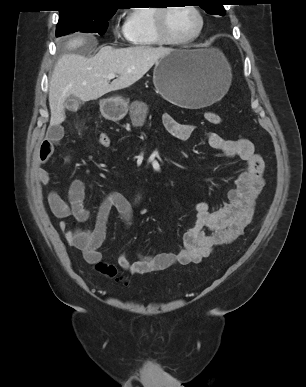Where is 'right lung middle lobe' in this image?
<instances>
[{
    "label": "right lung middle lobe",
    "instance_id": "dd1d6c3e",
    "mask_svg": "<svg viewBox=\"0 0 306 387\" xmlns=\"http://www.w3.org/2000/svg\"><path fill=\"white\" fill-rule=\"evenodd\" d=\"M115 12L116 10L60 13L56 36L61 37L76 31L103 35L107 30L108 20Z\"/></svg>",
    "mask_w": 306,
    "mask_h": 387
}]
</instances>
